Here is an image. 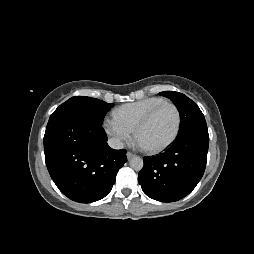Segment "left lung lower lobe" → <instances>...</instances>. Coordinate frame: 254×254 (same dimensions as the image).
<instances>
[{"label":"left lung lower lobe","instance_id":"0a47b994","mask_svg":"<svg viewBox=\"0 0 254 254\" xmlns=\"http://www.w3.org/2000/svg\"><path fill=\"white\" fill-rule=\"evenodd\" d=\"M208 145V131H193L177 137L164 153L144 157L138 176L143 192L161 202L187 196L204 174Z\"/></svg>","mask_w":254,"mask_h":254}]
</instances>
